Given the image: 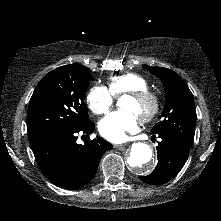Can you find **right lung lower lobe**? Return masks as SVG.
Masks as SVG:
<instances>
[{"mask_svg":"<svg viewBox=\"0 0 221 221\" xmlns=\"http://www.w3.org/2000/svg\"><path fill=\"white\" fill-rule=\"evenodd\" d=\"M93 122L81 128L51 133L31 143L36 162L42 173L55 185L65 189H77L94 177L101 156L113 146L100 138L77 144L79 132L91 134Z\"/></svg>","mask_w":221,"mask_h":221,"instance_id":"obj_1","label":"right lung lower lobe"}]
</instances>
